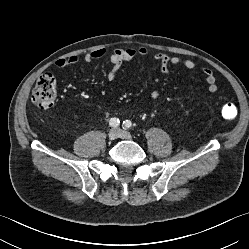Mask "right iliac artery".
<instances>
[{
    "label": "right iliac artery",
    "mask_w": 249,
    "mask_h": 249,
    "mask_svg": "<svg viewBox=\"0 0 249 249\" xmlns=\"http://www.w3.org/2000/svg\"><path fill=\"white\" fill-rule=\"evenodd\" d=\"M120 124V120L118 118H111L109 121V125L112 127H117Z\"/></svg>",
    "instance_id": "1"
}]
</instances>
